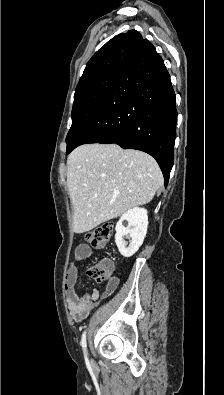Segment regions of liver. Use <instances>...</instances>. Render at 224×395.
<instances>
[{"label":"liver","mask_w":224,"mask_h":395,"mask_svg":"<svg viewBox=\"0 0 224 395\" xmlns=\"http://www.w3.org/2000/svg\"><path fill=\"white\" fill-rule=\"evenodd\" d=\"M67 166L73 230L79 234L149 203L163 185L153 157L115 144L77 147L68 156Z\"/></svg>","instance_id":"liver-1"}]
</instances>
